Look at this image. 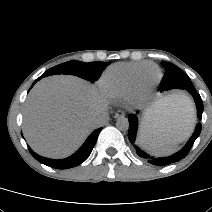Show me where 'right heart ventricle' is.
<instances>
[{"mask_svg":"<svg viewBox=\"0 0 212 212\" xmlns=\"http://www.w3.org/2000/svg\"><path fill=\"white\" fill-rule=\"evenodd\" d=\"M142 69L157 72L158 67L150 62L114 64L101 75L100 87L112 100L127 99L134 90L136 75Z\"/></svg>","mask_w":212,"mask_h":212,"instance_id":"e07e8e85","label":"right heart ventricle"}]
</instances>
